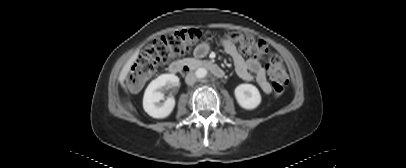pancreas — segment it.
<instances>
[{
  "label": "pancreas",
  "mask_w": 406,
  "mask_h": 168,
  "mask_svg": "<svg viewBox=\"0 0 406 168\" xmlns=\"http://www.w3.org/2000/svg\"><path fill=\"white\" fill-rule=\"evenodd\" d=\"M187 61H188L190 64L196 63V60H195L194 58H189V59H187Z\"/></svg>",
  "instance_id": "1"
}]
</instances>
